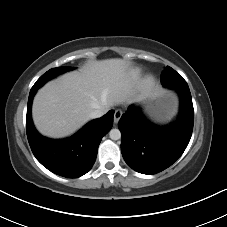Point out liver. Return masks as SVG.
I'll return each mask as SVG.
<instances>
[{
    "label": "liver",
    "instance_id": "1",
    "mask_svg": "<svg viewBox=\"0 0 227 227\" xmlns=\"http://www.w3.org/2000/svg\"><path fill=\"white\" fill-rule=\"evenodd\" d=\"M135 88L129 61L114 58L89 62L37 92L32 106L34 124L45 136H69L89 121L92 111L134 101Z\"/></svg>",
    "mask_w": 227,
    "mask_h": 227
}]
</instances>
